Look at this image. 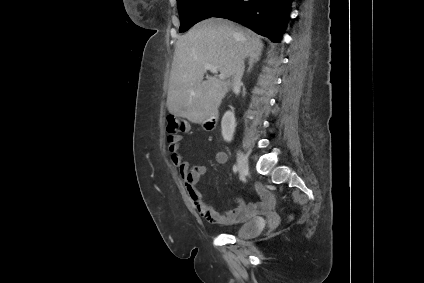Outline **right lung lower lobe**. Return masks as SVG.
I'll return each instance as SVG.
<instances>
[{
    "label": "right lung lower lobe",
    "mask_w": 424,
    "mask_h": 283,
    "mask_svg": "<svg viewBox=\"0 0 424 283\" xmlns=\"http://www.w3.org/2000/svg\"><path fill=\"white\" fill-rule=\"evenodd\" d=\"M292 0H232L231 4L213 17L240 23L256 33L279 42Z\"/></svg>",
    "instance_id": "1"
}]
</instances>
